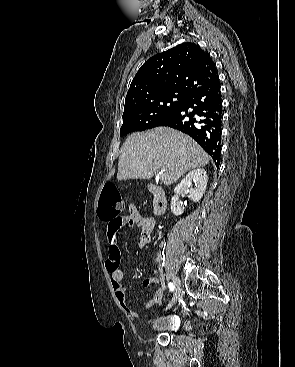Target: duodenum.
<instances>
[{
    "label": "duodenum",
    "mask_w": 295,
    "mask_h": 367,
    "mask_svg": "<svg viewBox=\"0 0 295 367\" xmlns=\"http://www.w3.org/2000/svg\"><path fill=\"white\" fill-rule=\"evenodd\" d=\"M149 191L153 195L154 213L156 215L162 214L165 211L166 206H167V200H166V196H165L163 189L156 185L150 184Z\"/></svg>",
    "instance_id": "410a0bca"
}]
</instances>
